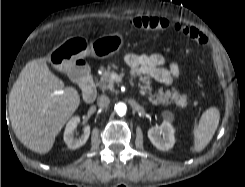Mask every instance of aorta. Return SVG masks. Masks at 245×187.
Returning <instances> with one entry per match:
<instances>
[{"label":"aorta","mask_w":245,"mask_h":187,"mask_svg":"<svg viewBox=\"0 0 245 187\" xmlns=\"http://www.w3.org/2000/svg\"><path fill=\"white\" fill-rule=\"evenodd\" d=\"M115 111L119 116H124L127 111L126 104L122 102L118 103L117 105H115Z\"/></svg>","instance_id":"762f6f07"}]
</instances>
